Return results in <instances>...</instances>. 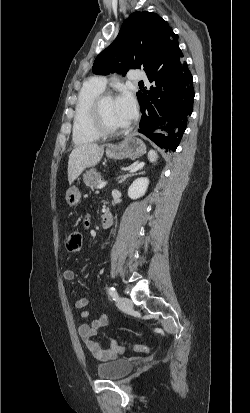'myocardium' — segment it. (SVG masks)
<instances>
[{
	"label": "myocardium",
	"instance_id": "obj_1",
	"mask_svg": "<svg viewBox=\"0 0 250 413\" xmlns=\"http://www.w3.org/2000/svg\"><path fill=\"white\" fill-rule=\"evenodd\" d=\"M109 97H112L110 93L102 92L95 98L91 108L93 125L100 136H114L120 134L124 130V127L112 128L106 123L102 105L104 100Z\"/></svg>",
	"mask_w": 250,
	"mask_h": 413
}]
</instances>
